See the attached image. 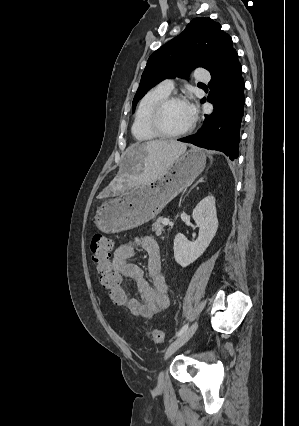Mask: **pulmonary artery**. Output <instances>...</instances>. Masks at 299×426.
<instances>
[{
	"instance_id": "obj_1",
	"label": "pulmonary artery",
	"mask_w": 299,
	"mask_h": 426,
	"mask_svg": "<svg viewBox=\"0 0 299 426\" xmlns=\"http://www.w3.org/2000/svg\"><path fill=\"white\" fill-rule=\"evenodd\" d=\"M196 79L199 81H208L209 75L203 69H199ZM161 86L167 91L171 92L174 89V81L172 79H166L161 83Z\"/></svg>"
}]
</instances>
